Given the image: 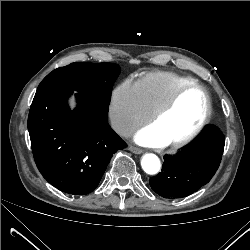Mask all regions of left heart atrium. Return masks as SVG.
I'll list each match as a JSON object with an SVG mask.
<instances>
[{
	"label": "left heart atrium",
	"instance_id": "39dd6f15",
	"mask_svg": "<svg viewBox=\"0 0 250 250\" xmlns=\"http://www.w3.org/2000/svg\"><path fill=\"white\" fill-rule=\"evenodd\" d=\"M135 141L148 147H161L168 144L152 126L139 130L135 134Z\"/></svg>",
	"mask_w": 250,
	"mask_h": 250
}]
</instances>
